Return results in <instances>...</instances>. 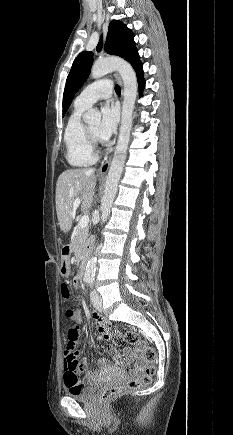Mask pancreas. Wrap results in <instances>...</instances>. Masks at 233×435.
<instances>
[{"label":"pancreas","mask_w":233,"mask_h":435,"mask_svg":"<svg viewBox=\"0 0 233 435\" xmlns=\"http://www.w3.org/2000/svg\"><path fill=\"white\" fill-rule=\"evenodd\" d=\"M88 228H80L76 227L73 238L71 240V248L74 252L76 261H81L84 259L85 254L87 253V247L89 245L88 239Z\"/></svg>","instance_id":"pancreas-1"}]
</instances>
